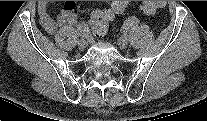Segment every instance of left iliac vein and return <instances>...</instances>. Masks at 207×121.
I'll use <instances>...</instances> for the list:
<instances>
[{
  "mask_svg": "<svg viewBox=\"0 0 207 121\" xmlns=\"http://www.w3.org/2000/svg\"><path fill=\"white\" fill-rule=\"evenodd\" d=\"M118 45L121 49H125L127 48L128 46V40L126 37L124 36H121L119 39H118Z\"/></svg>",
  "mask_w": 207,
  "mask_h": 121,
  "instance_id": "4c4485c4",
  "label": "left iliac vein"
}]
</instances>
